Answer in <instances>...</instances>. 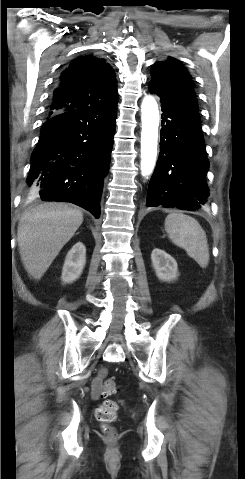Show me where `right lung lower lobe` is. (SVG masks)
<instances>
[{"mask_svg":"<svg viewBox=\"0 0 245 479\" xmlns=\"http://www.w3.org/2000/svg\"><path fill=\"white\" fill-rule=\"evenodd\" d=\"M115 120L116 106L66 111L47 118L32 153L27 195L71 202L99 218Z\"/></svg>","mask_w":245,"mask_h":479,"instance_id":"98d812e1","label":"right lung lower lobe"}]
</instances>
